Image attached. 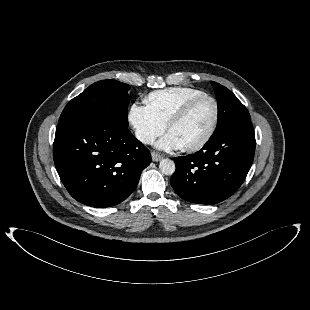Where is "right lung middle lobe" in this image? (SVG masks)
Segmentation results:
<instances>
[{"label": "right lung middle lobe", "instance_id": "right-lung-middle-lobe-1", "mask_svg": "<svg viewBox=\"0 0 310 310\" xmlns=\"http://www.w3.org/2000/svg\"><path fill=\"white\" fill-rule=\"evenodd\" d=\"M130 86L116 80H101L90 85L64 108L59 122L85 118L127 128Z\"/></svg>", "mask_w": 310, "mask_h": 310}]
</instances>
